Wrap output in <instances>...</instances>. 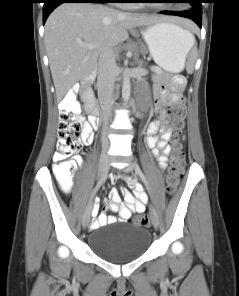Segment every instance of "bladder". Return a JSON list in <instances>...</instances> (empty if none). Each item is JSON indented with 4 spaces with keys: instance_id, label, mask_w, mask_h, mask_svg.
<instances>
[{
    "instance_id": "1",
    "label": "bladder",
    "mask_w": 239,
    "mask_h": 296,
    "mask_svg": "<svg viewBox=\"0 0 239 296\" xmlns=\"http://www.w3.org/2000/svg\"><path fill=\"white\" fill-rule=\"evenodd\" d=\"M151 244L150 232L127 222L100 227L90 237V248L104 260L127 262L140 258Z\"/></svg>"
}]
</instances>
